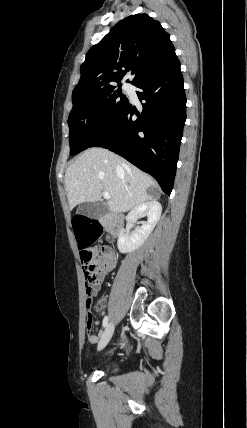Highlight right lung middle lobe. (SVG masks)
Listing matches in <instances>:
<instances>
[{
  "instance_id": "obj_1",
  "label": "right lung middle lobe",
  "mask_w": 247,
  "mask_h": 428,
  "mask_svg": "<svg viewBox=\"0 0 247 428\" xmlns=\"http://www.w3.org/2000/svg\"><path fill=\"white\" fill-rule=\"evenodd\" d=\"M72 100L73 108L68 117L71 155L90 147L129 104L120 87L87 93Z\"/></svg>"
}]
</instances>
